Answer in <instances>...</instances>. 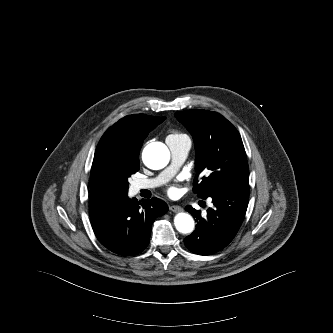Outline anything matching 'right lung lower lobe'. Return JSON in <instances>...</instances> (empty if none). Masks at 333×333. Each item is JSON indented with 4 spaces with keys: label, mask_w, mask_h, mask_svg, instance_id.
Here are the masks:
<instances>
[{
    "label": "right lung lower lobe",
    "mask_w": 333,
    "mask_h": 333,
    "mask_svg": "<svg viewBox=\"0 0 333 333\" xmlns=\"http://www.w3.org/2000/svg\"><path fill=\"white\" fill-rule=\"evenodd\" d=\"M167 211V204L158 198L137 202L125 195L90 203L97 239L110 251L125 256L137 254L147 247L152 223Z\"/></svg>",
    "instance_id": "obj_1"
}]
</instances>
